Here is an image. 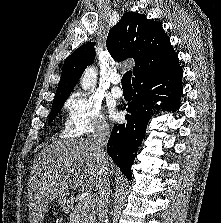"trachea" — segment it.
Listing matches in <instances>:
<instances>
[{"label": "trachea", "mask_w": 221, "mask_h": 223, "mask_svg": "<svg viewBox=\"0 0 221 223\" xmlns=\"http://www.w3.org/2000/svg\"><path fill=\"white\" fill-rule=\"evenodd\" d=\"M131 71H127L122 77V87L123 88H132L131 84Z\"/></svg>", "instance_id": "trachea-1"}]
</instances>
